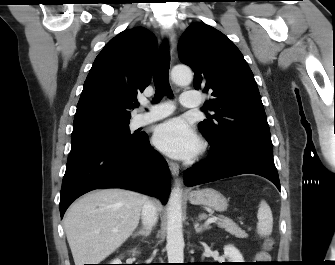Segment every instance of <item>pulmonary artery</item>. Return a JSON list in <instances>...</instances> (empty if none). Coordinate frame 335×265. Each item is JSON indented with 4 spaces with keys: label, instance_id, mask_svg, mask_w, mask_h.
<instances>
[{
    "label": "pulmonary artery",
    "instance_id": "obj_1",
    "mask_svg": "<svg viewBox=\"0 0 335 265\" xmlns=\"http://www.w3.org/2000/svg\"><path fill=\"white\" fill-rule=\"evenodd\" d=\"M180 103L185 108H196L200 105L201 98L197 91H186L182 93ZM143 106L148 109V112L136 115L134 119L136 126H143L160 120L170 115L174 110V105L171 102L161 104L144 103Z\"/></svg>",
    "mask_w": 335,
    "mask_h": 265
}]
</instances>
